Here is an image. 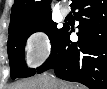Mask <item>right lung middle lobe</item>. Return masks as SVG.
<instances>
[{
	"mask_svg": "<svg viewBox=\"0 0 107 89\" xmlns=\"http://www.w3.org/2000/svg\"><path fill=\"white\" fill-rule=\"evenodd\" d=\"M51 17L27 22L9 28L8 57L10 62V76L12 79L29 77L35 74V69L27 68L24 61V49L27 38L34 32H45L51 41L54 50L65 26L58 29Z\"/></svg>",
	"mask_w": 107,
	"mask_h": 89,
	"instance_id": "obj_1",
	"label": "right lung middle lobe"
}]
</instances>
